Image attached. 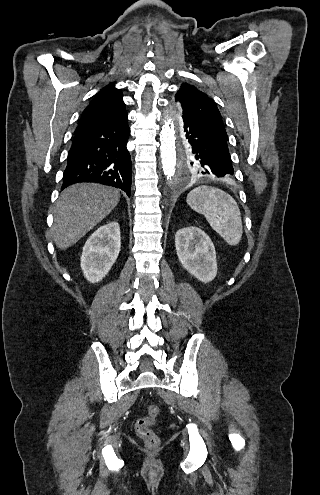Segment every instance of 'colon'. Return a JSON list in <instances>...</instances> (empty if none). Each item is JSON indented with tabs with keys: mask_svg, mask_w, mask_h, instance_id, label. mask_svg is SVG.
<instances>
[{
	"mask_svg": "<svg viewBox=\"0 0 320 495\" xmlns=\"http://www.w3.org/2000/svg\"><path fill=\"white\" fill-rule=\"evenodd\" d=\"M159 407L155 404L149 405L146 416L140 418L136 423V433L142 438L145 444L150 448L159 445L160 440L157 434L151 429L159 415Z\"/></svg>",
	"mask_w": 320,
	"mask_h": 495,
	"instance_id": "colon-1",
	"label": "colon"
}]
</instances>
